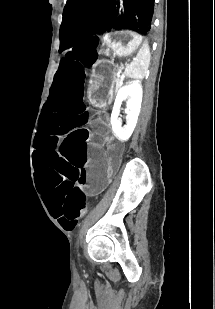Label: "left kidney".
<instances>
[{
	"label": "left kidney",
	"mask_w": 215,
	"mask_h": 309,
	"mask_svg": "<svg viewBox=\"0 0 215 309\" xmlns=\"http://www.w3.org/2000/svg\"><path fill=\"white\" fill-rule=\"evenodd\" d=\"M127 96H131V100H128L127 108H125V112H127V124L122 126V118H119V112L122 100H125ZM141 102L142 86H140L137 80L136 82H132V84H127V86H122V88H119L115 98L113 110L111 112V124L113 132H115L119 140H128V138H130L136 126L137 118L141 108Z\"/></svg>",
	"instance_id": "1"
}]
</instances>
